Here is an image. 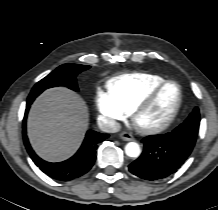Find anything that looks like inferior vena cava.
<instances>
[{"label":"inferior vena cava","mask_w":218,"mask_h":210,"mask_svg":"<svg viewBox=\"0 0 218 210\" xmlns=\"http://www.w3.org/2000/svg\"><path fill=\"white\" fill-rule=\"evenodd\" d=\"M98 126L100 130L105 133H115L121 129V126L117 121L108 119L104 116L98 118Z\"/></svg>","instance_id":"obj_1"}]
</instances>
